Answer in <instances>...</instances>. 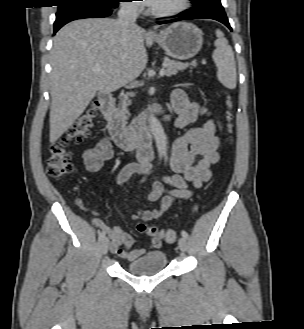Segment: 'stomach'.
<instances>
[{
  "mask_svg": "<svg viewBox=\"0 0 304 329\" xmlns=\"http://www.w3.org/2000/svg\"><path fill=\"white\" fill-rule=\"evenodd\" d=\"M203 33L188 22H177L154 36L155 41L172 58L186 60L202 48Z\"/></svg>",
  "mask_w": 304,
  "mask_h": 329,
  "instance_id": "1",
  "label": "stomach"
}]
</instances>
